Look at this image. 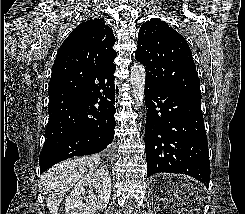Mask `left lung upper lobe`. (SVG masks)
Instances as JSON below:
<instances>
[{
  "instance_id": "1",
  "label": "left lung upper lobe",
  "mask_w": 245,
  "mask_h": 214,
  "mask_svg": "<svg viewBox=\"0 0 245 214\" xmlns=\"http://www.w3.org/2000/svg\"><path fill=\"white\" fill-rule=\"evenodd\" d=\"M138 38L135 59L145 67L146 83L201 94L191 50L181 34L152 18L142 24Z\"/></svg>"
}]
</instances>
